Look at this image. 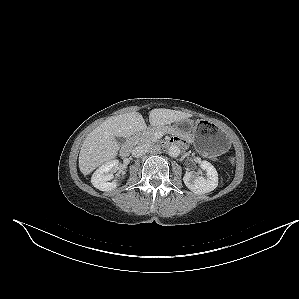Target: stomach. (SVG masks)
Wrapping results in <instances>:
<instances>
[{
	"label": "stomach",
	"mask_w": 299,
	"mask_h": 299,
	"mask_svg": "<svg viewBox=\"0 0 299 299\" xmlns=\"http://www.w3.org/2000/svg\"><path fill=\"white\" fill-rule=\"evenodd\" d=\"M182 133H188L197 150L205 155H215L226 149V132L217 124L207 120L185 119L177 123Z\"/></svg>",
	"instance_id": "stomach-1"
}]
</instances>
